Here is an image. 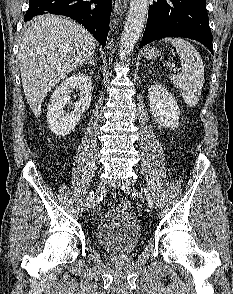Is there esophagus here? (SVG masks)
Returning a JSON list of instances; mask_svg holds the SVG:
<instances>
[{"instance_id": "1", "label": "esophagus", "mask_w": 233, "mask_h": 294, "mask_svg": "<svg viewBox=\"0 0 233 294\" xmlns=\"http://www.w3.org/2000/svg\"><path fill=\"white\" fill-rule=\"evenodd\" d=\"M123 4H125L123 0H112L113 11L117 14L122 13V9L124 8Z\"/></svg>"}]
</instances>
